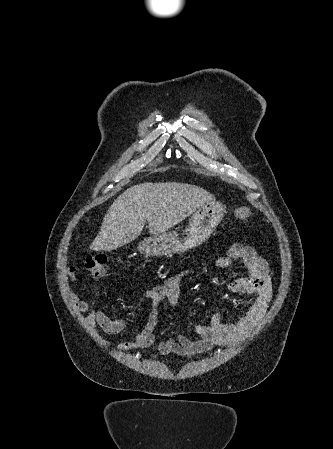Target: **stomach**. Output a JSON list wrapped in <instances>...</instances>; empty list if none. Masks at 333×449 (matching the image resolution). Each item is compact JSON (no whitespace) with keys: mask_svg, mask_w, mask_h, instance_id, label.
Segmentation results:
<instances>
[{"mask_svg":"<svg viewBox=\"0 0 333 449\" xmlns=\"http://www.w3.org/2000/svg\"><path fill=\"white\" fill-rule=\"evenodd\" d=\"M225 212L221 203L215 200L208 202L192 216L188 228L182 233L183 239H179L176 232H166L144 240L138 249L147 256L184 253L208 239Z\"/></svg>","mask_w":333,"mask_h":449,"instance_id":"0dacf381","label":"stomach"}]
</instances>
